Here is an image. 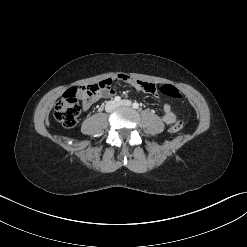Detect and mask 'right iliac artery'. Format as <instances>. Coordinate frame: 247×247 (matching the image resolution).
Listing matches in <instances>:
<instances>
[{
	"label": "right iliac artery",
	"mask_w": 247,
	"mask_h": 247,
	"mask_svg": "<svg viewBox=\"0 0 247 247\" xmlns=\"http://www.w3.org/2000/svg\"><path fill=\"white\" fill-rule=\"evenodd\" d=\"M114 101H115V102H120V101H121V98H120L119 96H116V97L114 98Z\"/></svg>",
	"instance_id": "right-iliac-artery-1"
}]
</instances>
